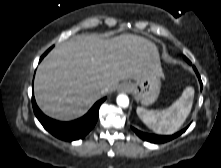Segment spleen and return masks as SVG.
I'll use <instances>...</instances> for the list:
<instances>
[{
  "label": "spleen",
  "mask_w": 221,
  "mask_h": 168,
  "mask_svg": "<svg viewBox=\"0 0 221 168\" xmlns=\"http://www.w3.org/2000/svg\"><path fill=\"white\" fill-rule=\"evenodd\" d=\"M194 98V89L187 87L182 95L169 108L146 110L137 107V115L144 124L158 134L170 135L178 131L188 117Z\"/></svg>",
  "instance_id": "spleen-1"
}]
</instances>
